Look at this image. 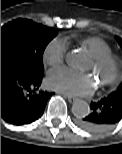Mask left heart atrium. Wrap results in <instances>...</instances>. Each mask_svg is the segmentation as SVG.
<instances>
[{
  "instance_id": "39dd6f15",
  "label": "left heart atrium",
  "mask_w": 122,
  "mask_h": 154,
  "mask_svg": "<svg viewBox=\"0 0 122 154\" xmlns=\"http://www.w3.org/2000/svg\"><path fill=\"white\" fill-rule=\"evenodd\" d=\"M47 84L51 89L70 96H86L94 89V83L89 75L68 68L50 71Z\"/></svg>"
}]
</instances>
